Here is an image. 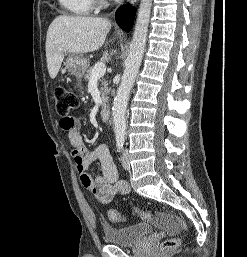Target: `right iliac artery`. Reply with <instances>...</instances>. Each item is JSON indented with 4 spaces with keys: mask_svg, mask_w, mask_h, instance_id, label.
<instances>
[{
    "mask_svg": "<svg viewBox=\"0 0 247 257\" xmlns=\"http://www.w3.org/2000/svg\"><path fill=\"white\" fill-rule=\"evenodd\" d=\"M123 145H124V140H123V139L117 140V149H118V152H120V151L122 150Z\"/></svg>",
    "mask_w": 247,
    "mask_h": 257,
    "instance_id": "obj_1",
    "label": "right iliac artery"
}]
</instances>
